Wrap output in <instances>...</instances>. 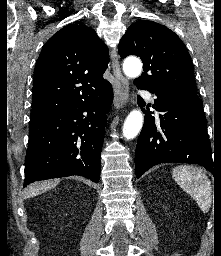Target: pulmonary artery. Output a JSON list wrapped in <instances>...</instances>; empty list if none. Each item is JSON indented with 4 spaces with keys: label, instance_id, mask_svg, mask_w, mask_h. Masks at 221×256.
<instances>
[{
    "label": "pulmonary artery",
    "instance_id": "obj_1",
    "mask_svg": "<svg viewBox=\"0 0 221 256\" xmlns=\"http://www.w3.org/2000/svg\"><path fill=\"white\" fill-rule=\"evenodd\" d=\"M143 94H144L146 97H148V98H150V99L152 100L151 95H150L149 93L143 92Z\"/></svg>",
    "mask_w": 221,
    "mask_h": 256
}]
</instances>
